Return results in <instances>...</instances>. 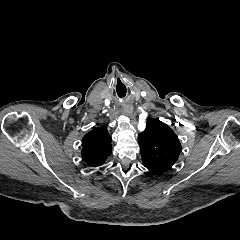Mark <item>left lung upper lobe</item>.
<instances>
[{
	"mask_svg": "<svg viewBox=\"0 0 240 240\" xmlns=\"http://www.w3.org/2000/svg\"><path fill=\"white\" fill-rule=\"evenodd\" d=\"M144 166L153 174L162 175L170 170L181 152V144L166 124L147 120L146 129L138 136Z\"/></svg>",
	"mask_w": 240,
	"mask_h": 240,
	"instance_id": "obj_1",
	"label": "left lung upper lobe"
}]
</instances>
